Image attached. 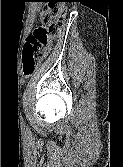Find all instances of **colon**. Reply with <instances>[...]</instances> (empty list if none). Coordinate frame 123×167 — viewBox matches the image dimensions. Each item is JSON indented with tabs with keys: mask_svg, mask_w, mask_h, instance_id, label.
I'll return each instance as SVG.
<instances>
[{
	"mask_svg": "<svg viewBox=\"0 0 123 167\" xmlns=\"http://www.w3.org/2000/svg\"><path fill=\"white\" fill-rule=\"evenodd\" d=\"M42 24L27 38L23 51V74L32 75L39 61L47 53L52 38L60 33L65 9L63 5L47 7L41 14Z\"/></svg>",
	"mask_w": 123,
	"mask_h": 167,
	"instance_id": "5ec220e1",
	"label": "colon"
}]
</instances>
